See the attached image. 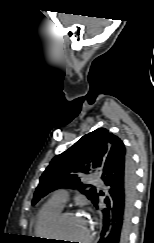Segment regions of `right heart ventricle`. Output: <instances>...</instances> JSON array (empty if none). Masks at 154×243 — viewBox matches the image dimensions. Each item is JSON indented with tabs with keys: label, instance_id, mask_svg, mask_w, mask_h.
<instances>
[{
	"label": "right heart ventricle",
	"instance_id": "obj_1",
	"mask_svg": "<svg viewBox=\"0 0 154 243\" xmlns=\"http://www.w3.org/2000/svg\"><path fill=\"white\" fill-rule=\"evenodd\" d=\"M63 207L51 200L40 209L35 221V234L45 240L54 239L51 225L54 218L62 211Z\"/></svg>",
	"mask_w": 154,
	"mask_h": 243
}]
</instances>
